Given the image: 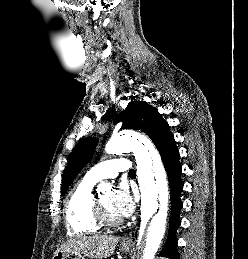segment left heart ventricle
Here are the masks:
<instances>
[{
  "mask_svg": "<svg viewBox=\"0 0 248 259\" xmlns=\"http://www.w3.org/2000/svg\"><path fill=\"white\" fill-rule=\"evenodd\" d=\"M112 192H107L99 196V200L104 206L107 214L114 219L120 218L114 211L112 207Z\"/></svg>",
  "mask_w": 248,
  "mask_h": 259,
  "instance_id": "b2bd125f",
  "label": "left heart ventricle"
}]
</instances>
